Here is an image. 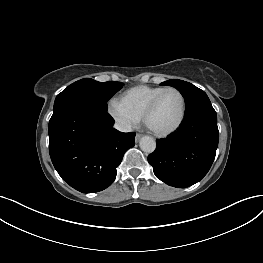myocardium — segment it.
<instances>
[{"mask_svg": "<svg viewBox=\"0 0 263 263\" xmlns=\"http://www.w3.org/2000/svg\"><path fill=\"white\" fill-rule=\"evenodd\" d=\"M168 91H175L179 94L180 98H181V102H182V110H181V115L178 119V121L170 128L165 129V130H155L153 128H151L149 126L148 123V119L150 117V115L152 114V112L154 111V109L156 108L158 102L160 101V99L162 98V96L167 93ZM186 111H187V103H186V98L184 93L176 87H166L164 88L161 92H159L151 101L150 103L147 105L144 113H143V121L145 126L155 135L157 136H161V137H165L168 136L172 133H174L175 131H177L179 129V127L182 125L185 116H186Z\"/></svg>", "mask_w": 263, "mask_h": 263, "instance_id": "1", "label": "myocardium"}]
</instances>
